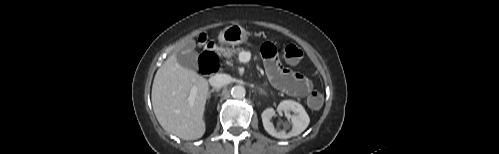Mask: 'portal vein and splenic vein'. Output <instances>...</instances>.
I'll list each match as a JSON object with an SVG mask.
<instances>
[{
	"mask_svg": "<svg viewBox=\"0 0 499 154\" xmlns=\"http://www.w3.org/2000/svg\"><path fill=\"white\" fill-rule=\"evenodd\" d=\"M249 60H250V54L249 53H247V52L240 53V55H239V61L240 62L247 63ZM196 93H197V89L196 88H192L191 92H190V96H189V102H190V104H193L195 96H196Z\"/></svg>",
	"mask_w": 499,
	"mask_h": 154,
	"instance_id": "18ae733b",
	"label": "portal vein and splenic vein"
}]
</instances>
